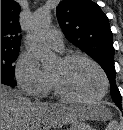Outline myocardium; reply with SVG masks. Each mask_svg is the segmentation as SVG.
<instances>
[{
	"mask_svg": "<svg viewBox=\"0 0 123 130\" xmlns=\"http://www.w3.org/2000/svg\"><path fill=\"white\" fill-rule=\"evenodd\" d=\"M60 60L65 64L71 63L76 60H83V61H86V62L90 63L91 65H93L99 71V73L102 77L103 89H102L101 93L96 97L87 98V99L77 98V97L69 94L55 77H53L52 75H49L52 87L58 97H60L61 99L65 100L67 102L77 103V104L95 103V102L102 100L105 97V95L108 92L109 81H108L106 72L104 71V69L101 67V65L98 62H96L91 57L84 55V54H80V53H71V54L64 55L60 58Z\"/></svg>",
	"mask_w": 123,
	"mask_h": 130,
	"instance_id": "myocardium-1",
	"label": "myocardium"
}]
</instances>
